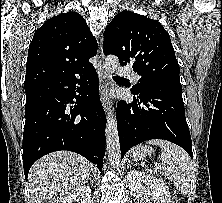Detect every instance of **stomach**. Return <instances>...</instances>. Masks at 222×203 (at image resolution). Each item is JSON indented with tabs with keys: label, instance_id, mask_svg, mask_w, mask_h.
Segmentation results:
<instances>
[{
	"label": "stomach",
	"instance_id": "0dacf381",
	"mask_svg": "<svg viewBox=\"0 0 222 203\" xmlns=\"http://www.w3.org/2000/svg\"><path fill=\"white\" fill-rule=\"evenodd\" d=\"M152 152L153 149L151 147L147 145H138L132 149L131 156L133 159L141 160Z\"/></svg>",
	"mask_w": 222,
	"mask_h": 203
}]
</instances>
